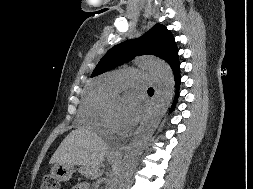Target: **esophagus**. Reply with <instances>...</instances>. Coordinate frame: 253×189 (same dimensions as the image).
<instances>
[{"label": "esophagus", "mask_w": 253, "mask_h": 189, "mask_svg": "<svg viewBox=\"0 0 253 189\" xmlns=\"http://www.w3.org/2000/svg\"><path fill=\"white\" fill-rule=\"evenodd\" d=\"M125 149V145H120V146H117V147H114L112 150H111V154L112 155H122L123 151Z\"/></svg>", "instance_id": "esophagus-1"}]
</instances>
